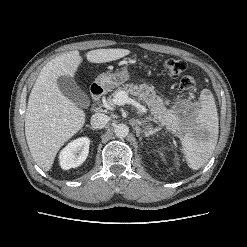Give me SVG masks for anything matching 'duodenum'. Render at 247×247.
Wrapping results in <instances>:
<instances>
[{"label": "duodenum", "instance_id": "duodenum-1", "mask_svg": "<svg viewBox=\"0 0 247 247\" xmlns=\"http://www.w3.org/2000/svg\"><path fill=\"white\" fill-rule=\"evenodd\" d=\"M90 91H91V97H92L93 108H94L96 103L100 100V98L104 94V87L100 84H93L91 86Z\"/></svg>", "mask_w": 247, "mask_h": 247}]
</instances>
